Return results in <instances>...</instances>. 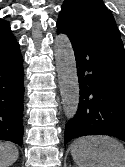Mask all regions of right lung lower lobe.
<instances>
[{
  "label": "right lung lower lobe",
  "mask_w": 125,
  "mask_h": 167,
  "mask_svg": "<svg viewBox=\"0 0 125 167\" xmlns=\"http://www.w3.org/2000/svg\"><path fill=\"white\" fill-rule=\"evenodd\" d=\"M23 58L9 28L0 29V140L23 143Z\"/></svg>",
  "instance_id": "1"
}]
</instances>
